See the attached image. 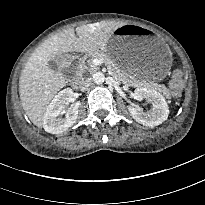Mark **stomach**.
<instances>
[{
  "instance_id": "1",
  "label": "stomach",
  "mask_w": 205,
  "mask_h": 205,
  "mask_svg": "<svg viewBox=\"0 0 205 205\" xmlns=\"http://www.w3.org/2000/svg\"><path fill=\"white\" fill-rule=\"evenodd\" d=\"M101 51L120 70L144 83L163 80L173 61L164 39L137 24H123L116 28Z\"/></svg>"
}]
</instances>
